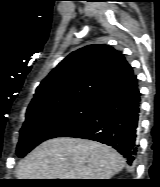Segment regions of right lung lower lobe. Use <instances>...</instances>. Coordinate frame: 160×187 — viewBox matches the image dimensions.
<instances>
[{
  "label": "right lung lower lobe",
  "mask_w": 160,
  "mask_h": 187,
  "mask_svg": "<svg viewBox=\"0 0 160 187\" xmlns=\"http://www.w3.org/2000/svg\"><path fill=\"white\" fill-rule=\"evenodd\" d=\"M140 96L138 79L133 73L101 97L88 116L59 137L90 139L109 145L133 165L138 148Z\"/></svg>",
  "instance_id": "98d812e1"
}]
</instances>
